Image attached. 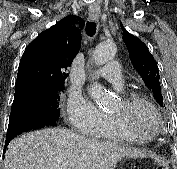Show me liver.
Masks as SVG:
<instances>
[{
  "mask_svg": "<svg viewBox=\"0 0 177 169\" xmlns=\"http://www.w3.org/2000/svg\"><path fill=\"white\" fill-rule=\"evenodd\" d=\"M143 156L118 144L66 129L46 128L12 140L3 169H114L125 157Z\"/></svg>",
  "mask_w": 177,
  "mask_h": 169,
  "instance_id": "1",
  "label": "liver"
}]
</instances>
